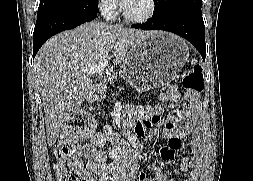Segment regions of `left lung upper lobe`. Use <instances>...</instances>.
I'll return each mask as SVG.
<instances>
[{
    "label": "left lung upper lobe",
    "instance_id": "obj_1",
    "mask_svg": "<svg viewBox=\"0 0 253 181\" xmlns=\"http://www.w3.org/2000/svg\"><path fill=\"white\" fill-rule=\"evenodd\" d=\"M202 0H156L153 17L166 15L180 8L201 9Z\"/></svg>",
    "mask_w": 253,
    "mask_h": 181
}]
</instances>
